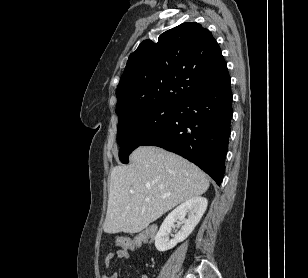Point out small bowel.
<instances>
[{
  "mask_svg": "<svg viewBox=\"0 0 308 278\" xmlns=\"http://www.w3.org/2000/svg\"><path fill=\"white\" fill-rule=\"evenodd\" d=\"M130 250H120V248L108 253L104 259V267L108 268L113 259H128L130 257ZM103 278H118V273L113 272L110 275L104 276ZM141 278H148L147 275H142Z\"/></svg>",
  "mask_w": 308,
  "mask_h": 278,
  "instance_id": "obj_1",
  "label": "small bowel"
}]
</instances>
